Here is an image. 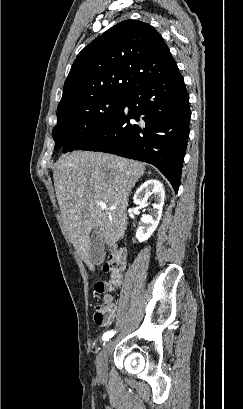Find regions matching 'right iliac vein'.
Wrapping results in <instances>:
<instances>
[{
	"label": "right iliac vein",
	"mask_w": 243,
	"mask_h": 409,
	"mask_svg": "<svg viewBox=\"0 0 243 409\" xmlns=\"http://www.w3.org/2000/svg\"><path fill=\"white\" fill-rule=\"evenodd\" d=\"M113 342L107 341L100 353L97 356L96 360V367H97V374L100 378H105L106 372H107V362H108V357L111 352Z\"/></svg>",
	"instance_id": "obj_1"
}]
</instances>
